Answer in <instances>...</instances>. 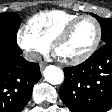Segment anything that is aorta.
Wrapping results in <instances>:
<instances>
[{"label":"aorta","mask_w":112,"mask_h":112,"mask_svg":"<svg viewBox=\"0 0 112 112\" xmlns=\"http://www.w3.org/2000/svg\"><path fill=\"white\" fill-rule=\"evenodd\" d=\"M45 80L52 85H59L64 81V72L61 68L49 65L43 71Z\"/></svg>","instance_id":"1"}]
</instances>
